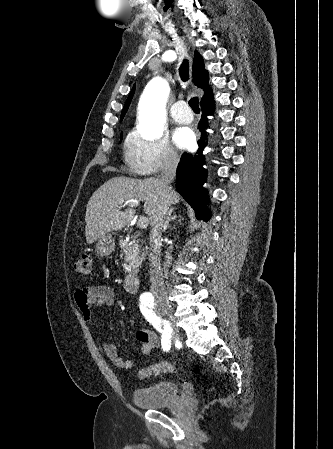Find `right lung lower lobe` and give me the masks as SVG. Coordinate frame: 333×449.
Returning a JSON list of instances; mask_svg holds the SVG:
<instances>
[{"label":"right lung lower lobe","mask_w":333,"mask_h":449,"mask_svg":"<svg viewBox=\"0 0 333 449\" xmlns=\"http://www.w3.org/2000/svg\"><path fill=\"white\" fill-rule=\"evenodd\" d=\"M200 105L203 113L198 124V129L201 131V139L198 141L199 150L195 155L183 153L176 172V189L195 210L197 218L208 221L211 215L204 209L208 196L206 189L202 187L206 181V169L202 167L204 165L202 151L207 145V136L204 131L208 127L207 115L213 114L214 111L212 93L203 97Z\"/></svg>","instance_id":"obj_1"}]
</instances>
